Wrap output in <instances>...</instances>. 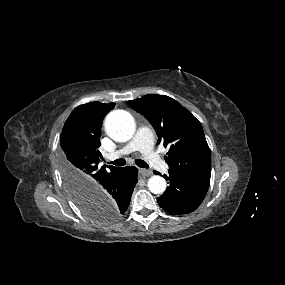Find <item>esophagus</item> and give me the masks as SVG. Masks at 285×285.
<instances>
[{"instance_id": "obj_1", "label": "esophagus", "mask_w": 285, "mask_h": 285, "mask_svg": "<svg viewBox=\"0 0 285 285\" xmlns=\"http://www.w3.org/2000/svg\"><path fill=\"white\" fill-rule=\"evenodd\" d=\"M140 174L144 177L150 176L152 174L151 170L148 169H140Z\"/></svg>"}]
</instances>
